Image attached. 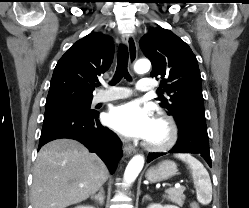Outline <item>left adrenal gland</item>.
I'll return each mask as SVG.
<instances>
[{
	"instance_id": "a2214340",
	"label": "left adrenal gland",
	"mask_w": 249,
	"mask_h": 208,
	"mask_svg": "<svg viewBox=\"0 0 249 208\" xmlns=\"http://www.w3.org/2000/svg\"><path fill=\"white\" fill-rule=\"evenodd\" d=\"M145 199H147V200H151V197H150L148 194H147V195H145V196H144V198H143V200H142V202H144V200H145Z\"/></svg>"
}]
</instances>
